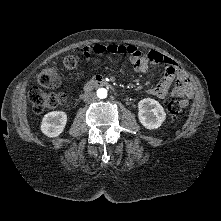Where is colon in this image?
I'll return each instance as SVG.
<instances>
[{
    "instance_id": "1",
    "label": "colon",
    "mask_w": 221,
    "mask_h": 221,
    "mask_svg": "<svg viewBox=\"0 0 221 221\" xmlns=\"http://www.w3.org/2000/svg\"><path fill=\"white\" fill-rule=\"evenodd\" d=\"M66 69H75L78 65V57L68 55L63 60ZM38 83L44 88H55L60 83V74L57 68L47 67L38 75ZM29 100L32 108L36 113H43L47 110L54 109L59 105L65 104L68 97L64 94H54L42 91L40 88L34 87L29 91ZM189 102L185 99H174L168 103L167 111L172 116L184 114Z\"/></svg>"
}]
</instances>
